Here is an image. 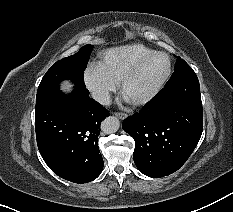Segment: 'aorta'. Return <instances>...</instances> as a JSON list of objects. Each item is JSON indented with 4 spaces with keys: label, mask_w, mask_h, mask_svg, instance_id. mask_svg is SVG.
Instances as JSON below:
<instances>
[{
    "label": "aorta",
    "mask_w": 233,
    "mask_h": 212,
    "mask_svg": "<svg viewBox=\"0 0 233 212\" xmlns=\"http://www.w3.org/2000/svg\"><path fill=\"white\" fill-rule=\"evenodd\" d=\"M120 127V121L114 116L107 117L101 124V130L104 134H112L117 132Z\"/></svg>",
    "instance_id": "1"
}]
</instances>
